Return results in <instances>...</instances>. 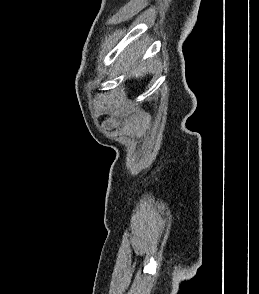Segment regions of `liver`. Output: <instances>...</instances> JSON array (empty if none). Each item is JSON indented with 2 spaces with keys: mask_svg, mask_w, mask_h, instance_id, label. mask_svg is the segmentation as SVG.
Returning <instances> with one entry per match:
<instances>
[{
  "mask_svg": "<svg viewBox=\"0 0 259 294\" xmlns=\"http://www.w3.org/2000/svg\"><path fill=\"white\" fill-rule=\"evenodd\" d=\"M139 56H140V52H137V54L131 53L129 56H127V62L124 63V66L126 67V69L130 71V76L135 77L137 79L143 77L149 71L146 67L133 68Z\"/></svg>",
  "mask_w": 259,
  "mask_h": 294,
  "instance_id": "liver-1",
  "label": "liver"
}]
</instances>
